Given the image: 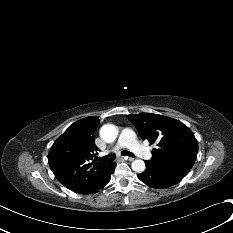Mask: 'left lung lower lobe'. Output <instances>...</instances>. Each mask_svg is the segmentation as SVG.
<instances>
[{
  "label": "left lung lower lobe",
  "instance_id": "left-lung-lower-lobe-1",
  "mask_svg": "<svg viewBox=\"0 0 233 233\" xmlns=\"http://www.w3.org/2000/svg\"><path fill=\"white\" fill-rule=\"evenodd\" d=\"M138 178L155 189L168 188L182 180V178L154 165L150 161H146V170L138 174Z\"/></svg>",
  "mask_w": 233,
  "mask_h": 233
}]
</instances>
